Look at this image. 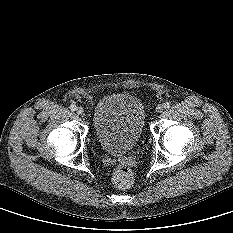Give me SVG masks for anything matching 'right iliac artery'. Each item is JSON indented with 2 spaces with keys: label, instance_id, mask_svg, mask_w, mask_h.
<instances>
[{
  "label": "right iliac artery",
  "instance_id": "right-iliac-artery-1",
  "mask_svg": "<svg viewBox=\"0 0 233 233\" xmlns=\"http://www.w3.org/2000/svg\"><path fill=\"white\" fill-rule=\"evenodd\" d=\"M76 108H77L76 105H74V104L70 105V109H71L72 111H75Z\"/></svg>",
  "mask_w": 233,
  "mask_h": 233
}]
</instances>
